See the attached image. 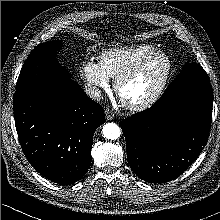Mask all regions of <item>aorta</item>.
Here are the masks:
<instances>
[{"label":"aorta","instance_id":"1","mask_svg":"<svg viewBox=\"0 0 220 220\" xmlns=\"http://www.w3.org/2000/svg\"><path fill=\"white\" fill-rule=\"evenodd\" d=\"M103 135L106 139L116 140L120 137L121 131L117 124L107 123L103 126Z\"/></svg>","mask_w":220,"mask_h":220}]
</instances>
